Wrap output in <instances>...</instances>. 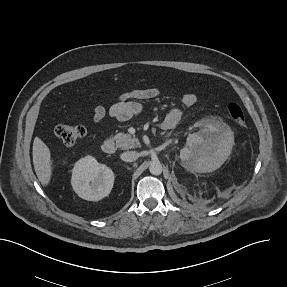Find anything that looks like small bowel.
I'll return each mask as SVG.
<instances>
[{
  "label": "small bowel",
  "instance_id": "1",
  "mask_svg": "<svg viewBox=\"0 0 287 287\" xmlns=\"http://www.w3.org/2000/svg\"><path fill=\"white\" fill-rule=\"evenodd\" d=\"M159 90L156 87H145L127 91L123 93L110 107L109 114L113 118L126 121L137 115L141 111V102L157 97ZM197 101L194 93L188 92L182 96V103L187 106H193ZM107 111L103 106H97L92 112V119L98 123L104 119ZM182 117V112L178 108L170 109L161 124L163 129L174 128Z\"/></svg>",
  "mask_w": 287,
  "mask_h": 287
}]
</instances>
